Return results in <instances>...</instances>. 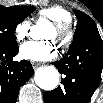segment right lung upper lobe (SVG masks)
Instances as JSON below:
<instances>
[{"instance_id": "cb5924a9", "label": "right lung upper lobe", "mask_w": 103, "mask_h": 103, "mask_svg": "<svg viewBox=\"0 0 103 103\" xmlns=\"http://www.w3.org/2000/svg\"><path fill=\"white\" fill-rule=\"evenodd\" d=\"M25 6H13V7H9V10H22L24 9Z\"/></svg>"}]
</instances>
